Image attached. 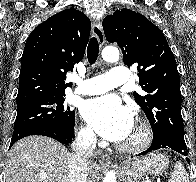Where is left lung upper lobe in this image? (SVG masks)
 <instances>
[{
	"instance_id": "5c2ea615",
	"label": "left lung upper lobe",
	"mask_w": 196,
	"mask_h": 182,
	"mask_svg": "<svg viewBox=\"0 0 196 182\" xmlns=\"http://www.w3.org/2000/svg\"><path fill=\"white\" fill-rule=\"evenodd\" d=\"M103 30L109 42L120 46L125 65L138 64L139 84L147 95L134 92L133 96L150 122L153 138L184 137L179 73L161 30L129 9L106 16Z\"/></svg>"
}]
</instances>
